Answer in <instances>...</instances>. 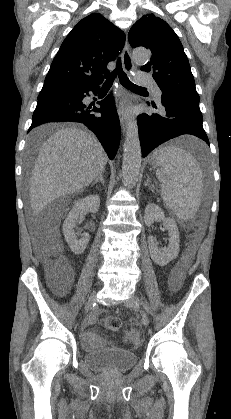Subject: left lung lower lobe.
Masks as SVG:
<instances>
[{"instance_id": "obj_1", "label": "left lung lower lobe", "mask_w": 231, "mask_h": 419, "mask_svg": "<svg viewBox=\"0 0 231 419\" xmlns=\"http://www.w3.org/2000/svg\"><path fill=\"white\" fill-rule=\"evenodd\" d=\"M161 103L162 114L143 113L137 118L143 157L158 145L184 134L195 135L210 145L202 125L199 99L162 95Z\"/></svg>"}]
</instances>
